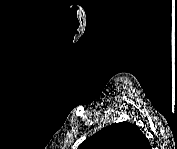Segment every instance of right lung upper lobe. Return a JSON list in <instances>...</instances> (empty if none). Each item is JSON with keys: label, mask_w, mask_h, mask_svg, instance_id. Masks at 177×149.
I'll return each mask as SVG.
<instances>
[{"label": "right lung upper lobe", "mask_w": 177, "mask_h": 149, "mask_svg": "<svg viewBox=\"0 0 177 149\" xmlns=\"http://www.w3.org/2000/svg\"><path fill=\"white\" fill-rule=\"evenodd\" d=\"M145 135L132 123L120 122L108 125L81 143L78 149H142Z\"/></svg>", "instance_id": "cb5924a9"}]
</instances>
